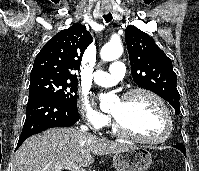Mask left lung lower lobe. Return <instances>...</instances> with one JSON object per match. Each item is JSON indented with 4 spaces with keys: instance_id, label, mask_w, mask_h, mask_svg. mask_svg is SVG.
Wrapping results in <instances>:
<instances>
[{
    "instance_id": "1",
    "label": "left lung lower lobe",
    "mask_w": 199,
    "mask_h": 171,
    "mask_svg": "<svg viewBox=\"0 0 199 171\" xmlns=\"http://www.w3.org/2000/svg\"><path fill=\"white\" fill-rule=\"evenodd\" d=\"M175 148L179 149L183 154L186 155V149L182 143L174 145Z\"/></svg>"
}]
</instances>
